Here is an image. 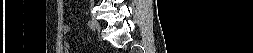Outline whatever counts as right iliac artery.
Wrapping results in <instances>:
<instances>
[{
	"mask_svg": "<svg viewBox=\"0 0 253 53\" xmlns=\"http://www.w3.org/2000/svg\"><path fill=\"white\" fill-rule=\"evenodd\" d=\"M88 26H89L90 29H93V30H94L93 21H88Z\"/></svg>",
	"mask_w": 253,
	"mask_h": 53,
	"instance_id": "1",
	"label": "right iliac artery"
}]
</instances>
